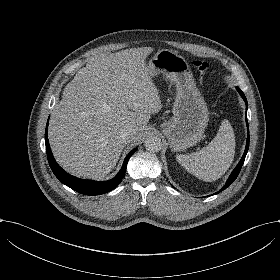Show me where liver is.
Masks as SVG:
<instances>
[{
  "instance_id": "1",
  "label": "liver",
  "mask_w": 280,
  "mask_h": 280,
  "mask_svg": "<svg viewBox=\"0 0 280 280\" xmlns=\"http://www.w3.org/2000/svg\"><path fill=\"white\" fill-rule=\"evenodd\" d=\"M151 47L125 49L88 60L55 106L49 139L57 162L69 173L102 178L116 166L125 143L122 129L142 139L150 115L161 108L145 59Z\"/></svg>"
}]
</instances>
